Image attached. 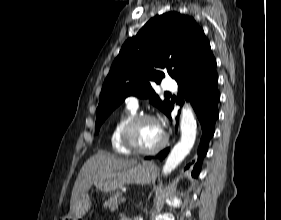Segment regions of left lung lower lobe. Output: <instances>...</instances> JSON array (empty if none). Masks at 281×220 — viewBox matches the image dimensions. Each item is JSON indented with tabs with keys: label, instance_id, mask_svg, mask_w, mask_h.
Returning a JSON list of instances; mask_svg holds the SVG:
<instances>
[{
	"label": "left lung lower lobe",
	"instance_id": "0a47b994",
	"mask_svg": "<svg viewBox=\"0 0 281 220\" xmlns=\"http://www.w3.org/2000/svg\"><path fill=\"white\" fill-rule=\"evenodd\" d=\"M181 99L179 104H183V98L189 100L197 114L201 124L202 136L198 148L197 156L193 163L192 176L197 177L204 156L208 150V143L214 134L215 122L219 116L218 102L220 94L218 91V76L216 72V60L209 47L205 52L196 56L191 61L186 73L177 81ZM171 105L168 117L171 118ZM178 118H176L177 130ZM169 149L159 153L158 157L163 159ZM190 164L186 166V169Z\"/></svg>",
	"mask_w": 281,
	"mask_h": 220
}]
</instances>
